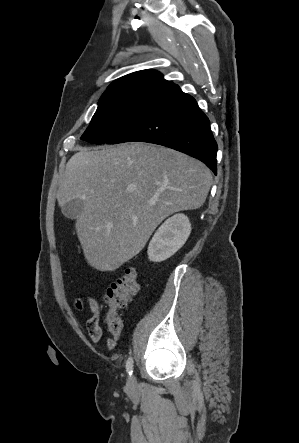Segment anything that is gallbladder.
I'll return each instance as SVG.
<instances>
[{"label": "gallbladder", "mask_w": 299, "mask_h": 443, "mask_svg": "<svg viewBox=\"0 0 299 443\" xmlns=\"http://www.w3.org/2000/svg\"><path fill=\"white\" fill-rule=\"evenodd\" d=\"M85 203L80 198L68 201L61 208L62 214L69 219H76L84 210Z\"/></svg>", "instance_id": "obj_1"}]
</instances>
